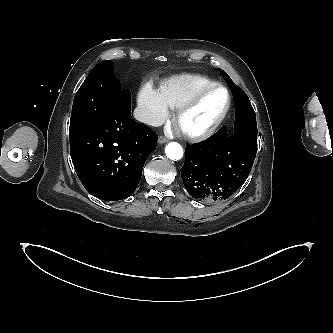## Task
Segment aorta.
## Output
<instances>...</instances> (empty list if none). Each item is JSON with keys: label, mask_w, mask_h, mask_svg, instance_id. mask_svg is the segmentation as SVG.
Instances as JSON below:
<instances>
[{"label": "aorta", "mask_w": 333, "mask_h": 333, "mask_svg": "<svg viewBox=\"0 0 333 333\" xmlns=\"http://www.w3.org/2000/svg\"><path fill=\"white\" fill-rule=\"evenodd\" d=\"M166 156L174 161L180 160L183 157V149L177 142H170L165 147Z\"/></svg>", "instance_id": "762f6f07"}]
</instances>
